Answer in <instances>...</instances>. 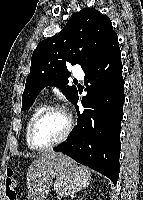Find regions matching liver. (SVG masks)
Instances as JSON below:
<instances>
[{"label": "liver", "mask_w": 143, "mask_h": 200, "mask_svg": "<svg viewBox=\"0 0 143 200\" xmlns=\"http://www.w3.org/2000/svg\"><path fill=\"white\" fill-rule=\"evenodd\" d=\"M73 164L75 161L62 153H42L31 163L27 171L28 199L45 200L56 173L63 167Z\"/></svg>", "instance_id": "6515ba94"}]
</instances>
